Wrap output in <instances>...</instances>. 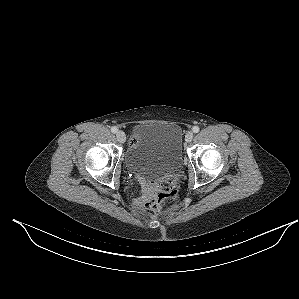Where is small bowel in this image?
I'll list each match as a JSON object with an SVG mask.
<instances>
[{
    "instance_id": "obj_1",
    "label": "small bowel",
    "mask_w": 299,
    "mask_h": 299,
    "mask_svg": "<svg viewBox=\"0 0 299 299\" xmlns=\"http://www.w3.org/2000/svg\"><path fill=\"white\" fill-rule=\"evenodd\" d=\"M151 186L149 184H144L140 193V196L137 200L139 204L147 203L149 198Z\"/></svg>"
}]
</instances>
